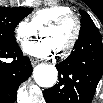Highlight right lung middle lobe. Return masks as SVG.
Returning a JSON list of instances; mask_svg holds the SVG:
<instances>
[{
	"label": "right lung middle lobe",
	"instance_id": "1",
	"mask_svg": "<svg viewBox=\"0 0 103 103\" xmlns=\"http://www.w3.org/2000/svg\"><path fill=\"white\" fill-rule=\"evenodd\" d=\"M32 10V8L24 7H0V44L8 46L17 44L14 37V29Z\"/></svg>",
	"mask_w": 103,
	"mask_h": 103
}]
</instances>
